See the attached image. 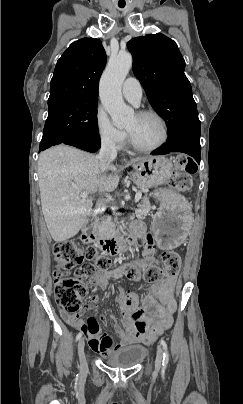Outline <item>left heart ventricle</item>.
<instances>
[{
    "label": "left heart ventricle",
    "mask_w": 243,
    "mask_h": 404,
    "mask_svg": "<svg viewBox=\"0 0 243 404\" xmlns=\"http://www.w3.org/2000/svg\"><path fill=\"white\" fill-rule=\"evenodd\" d=\"M132 138L142 146H152L163 138V128L154 116L133 115L125 124Z\"/></svg>",
    "instance_id": "1"
}]
</instances>
